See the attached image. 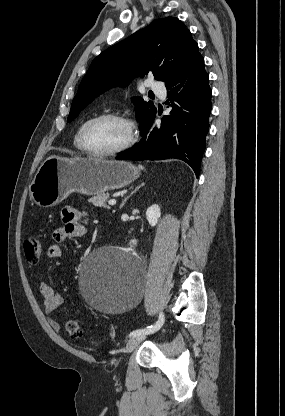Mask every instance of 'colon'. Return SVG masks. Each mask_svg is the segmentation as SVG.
<instances>
[{"label":"colon","instance_id":"obj_1","mask_svg":"<svg viewBox=\"0 0 285 416\" xmlns=\"http://www.w3.org/2000/svg\"><path fill=\"white\" fill-rule=\"evenodd\" d=\"M24 253L29 263H37L42 254V245L39 239L34 236H28L24 241ZM67 335L72 340H80L82 338V331L80 325L75 320H70L65 325Z\"/></svg>","mask_w":285,"mask_h":416}]
</instances>
